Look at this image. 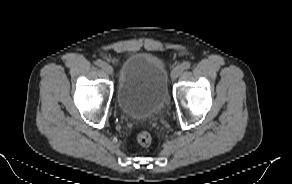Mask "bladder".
<instances>
[{"label":"bladder","instance_id":"obj_1","mask_svg":"<svg viewBox=\"0 0 292 184\" xmlns=\"http://www.w3.org/2000/svg\"><path fill=\"white\" fill-rule=\"evenodd\" d=\"M116 99L121 112L130 118H158L169 100L164 63L149 53L128 56L120 69Z\"/></svg>","mask_w":292,"mask_h":184}]
</instances>
